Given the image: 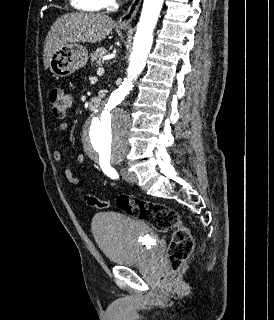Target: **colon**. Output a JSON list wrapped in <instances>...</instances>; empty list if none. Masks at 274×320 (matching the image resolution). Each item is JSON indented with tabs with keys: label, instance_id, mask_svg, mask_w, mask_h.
I'll return each mask as SVG.
<instances>
[{
	"label": "colon",
	"instance_id": "1",
	"mask_svg": "<svg viewBox=\"0 0 274 320\" xmlns=\"http://www.w3.org/2000/svg\"><path fill=\"white\" fill-rule=\"evenodd\" d=\"M48 100L53 115L60 118L65 116L72 105L71 98L63 87L50 88ZM85 199L89 205L96 204V200L88 195ZM116 203L119 210L132 218L146 222L160 233L167 234L173 231L168 249V261L174 272L183 268L194 249V241L189 227L180 220L177 211L162 203L127 196L118 198ZM98 206L101 209H109L112 204L109 200H100Z\"/></svg>",
	"mask_w": 274,
	"mask_h": 320
}]
</instances>
